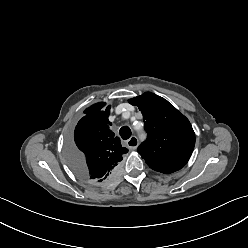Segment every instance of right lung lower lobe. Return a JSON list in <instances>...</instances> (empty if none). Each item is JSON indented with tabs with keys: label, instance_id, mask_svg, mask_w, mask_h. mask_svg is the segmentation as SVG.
<instances>
[{
	"label": "right lung lower lobe",
	"instance_id": "obj_1",
	"mask_svg": "<svg viewBox=\"0 0 248 248\" xmlns=\"http://www.w3.org/2000/svg\"><path fill=\"white\" fill-rule=\"evenodd\" d=\"M74 163H75V166L77 168V171L79 172L80 171V164H81V155L80 153L78 152V155L75 156L74 158ZM118 168H115L114 170H112L110 173H109V176L105 177L104 179L103 178H99V179H92L91 182H94V183H99V182H103L105 179L106 181H108L109 179L113 178L117 171H118ZM77 175H79L81 178L85 179L80 173H78ZM86 180V179H85Z\"/></svg>",
	"mask_w": 248,
	"mask_h": 248
}]
</instances>
